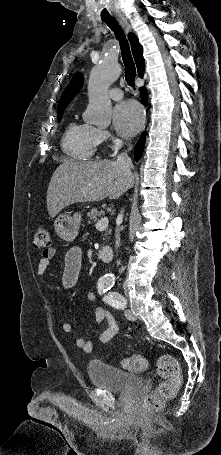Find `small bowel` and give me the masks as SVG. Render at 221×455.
<instances>
[{"label":"small bowel","mask_w":221,"mask_h":455,"mask_svg":"<svg viewBox=\"0 0 221 455\" xmlns=\"http://www.w3.org/2000/svg\"><path fill=\"white\" fill-rule=\"evenodd\" d=\"M55 254V248L46 249L41 253V257L36 268V273L38 276H44L46 274L50 260L55 256ZM82 265L83 257L81 249L78 247H73L68 250L65 256L62 275V282L65 288L70 289L74 287L79 278ZM88 299L91 302L95 303L96 295L93 292H90L88 294ZM95 318L97 324H100L102 322L107 323L106 329L98 335L97 340L100 343L109 342L118 333L119 328L116 320L109 311L100 306H96ZM62 330L64 332H70L72 330L71 323L64 322L62 324ZM76 345L85 352H91L94 348V342L92 340H87L84 338H77Z\"/></svg>","instance_id":"obj_1"}]
</instances>
